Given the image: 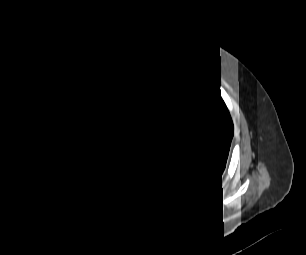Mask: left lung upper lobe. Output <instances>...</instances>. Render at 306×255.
Returning <instances> with one entry per match:
<instances>
[{
    "label": "left lung upper lobe",
    "instance_id": "obj_1",
    "mask_svg": "<svg viewBox=\"0 0 306 255\" xmlns=\"http://www.w3.org/2000/svg\"><path fill=\"white\" fill-rule=\"evenodd\" d=\"M199 107L194 122L186 131L185 145L194 150L187 153L192 169L206 168L222 177L225 170L234 125L218 88L203 74L194 72ZM186 159V154H185Z\"/></svg>",
    "mask_w": 306,
    "mask_h": 255
}]
</instances>
